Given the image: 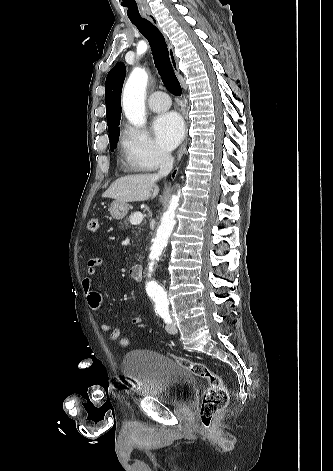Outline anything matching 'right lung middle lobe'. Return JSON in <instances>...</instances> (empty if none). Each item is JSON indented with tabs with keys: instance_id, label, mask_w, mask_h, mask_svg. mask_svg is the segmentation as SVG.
Returning <instances> with one entry per match:
<instances>
[{
	"instance_id": "1",
	"label": "right lung middle lobe",
	"mask_w": 333,
	"mask_h": 471,
	"mask_svg": "<svg viewBox=\"0 0 333 471\" xmlns=\"http://www.w3.org/2000/svg\"><path fill=\"white\" fill-rule=\"evenodd\" d=\"M110 133V149L113 151L118 143V137L120 133L119 125H117L113 130L109 131Z\"/></svg>"
}]
</instances>
